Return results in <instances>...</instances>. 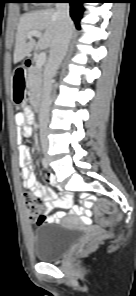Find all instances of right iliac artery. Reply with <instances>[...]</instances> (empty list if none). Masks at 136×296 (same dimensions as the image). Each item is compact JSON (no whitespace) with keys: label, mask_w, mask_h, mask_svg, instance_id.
I'll list each match as a JSON object with an SVG mask.
<instances>
[{"label":"right iliac artery","mask_w":136,"mask_h":296,"mask_svg":"<svg viewBox=\"0 0 136 296\" xmlns=\"http://www.w3.org/2000/svg\"><path fill=\"white\" fill-rule=\"evenodd\" d=\"M42 165H43L44 168L48 167V163H47L45 158L42 159Z\"/></svg>","instance_id":"obj_1"}]
</instances>
